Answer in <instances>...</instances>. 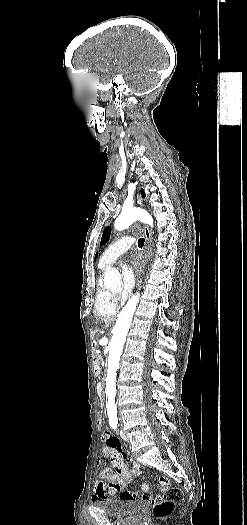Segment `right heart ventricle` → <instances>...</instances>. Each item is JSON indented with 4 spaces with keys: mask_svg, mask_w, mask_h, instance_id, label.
Returning <instances> with one entry per match:
<instances>
[{
    "mask_svg": "<svg viewBox=\"0 0 247 525\" xmlns=\"http://www.w3.org/2000/svg\"><path fill=\"white\" fill-rule=\"evenodd\" d=\"M109 263L101 256L98 262L99 274L97 277V293L96 303L94 306L95 317H116L118 314V306L116 304L108 305L105 302L107 296V288L104 280V272H106Z\"/></svg>",
    "mask_w": 247,
    "mask_h": 525,
    "instance_id": "right-heart-ventricle-1",
    "label": "right heart ventricle"
}]
</instances>
